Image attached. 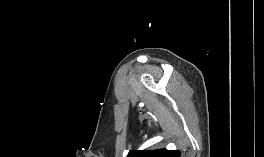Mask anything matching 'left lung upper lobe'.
<instances>
[{"instance_id":"5c2ea615","label":"left lung upper lobe","mask_w":264,"mask_h":157,"mask_svg":"<svg viewBox=\"0 0 264 157\" xmlns=\"http://www.w3.org/2000/svg\"><path fill=\"white\" fill-rule=\"evenodd\" d=\"M127 157H181L179 150L151 149V150H130Z\"/></svg>"}]
</instances>
